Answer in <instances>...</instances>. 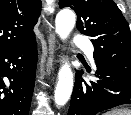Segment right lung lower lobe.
<instances>
[{
	"label": "right lung lower lobe",
	"mask_w": 131,
	"mask_h": 115,
	"mask_svg": "<svg viewBox=\"0 0 131 115\" xmlns=\"http://www.w3.org/2000/svg\"><path fill=\"white\" fill-rule=\"evenodd\" d=\"M36 64L35 38L0 52V115H28Z\"/></svg>",
	"instance_id": "obj_1"
}]
</instances>
